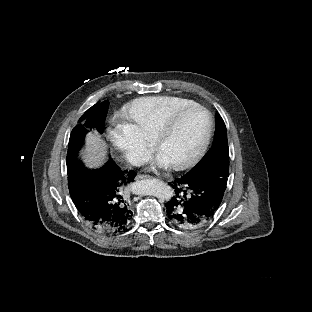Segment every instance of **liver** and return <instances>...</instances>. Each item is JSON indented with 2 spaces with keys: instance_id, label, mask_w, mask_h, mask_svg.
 I'll use <instances>...</instances> for the list:
<instances>
[{
  "instance_id": "obj_1",
  "label": "liver",
  "mask_w": 312,
  "mask_h": 312,
  "mask_svg": "<svg viewBox=\"0 0 312 312\" xmlns=\"http://www.w3.org/2000/svg\"><path fill=\"white\" fill-rule=\"evenodd\" d=\"M88 150L84 151L83 156L89 165H98L104 158V150L97 134H90L88 138Z\"/></svg>"
}]
</instances>
